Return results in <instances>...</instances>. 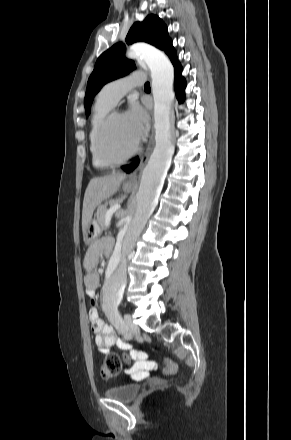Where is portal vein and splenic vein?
<instances>
[{
  "mask_svg": "<svg viewBox=\"0 0 291 440\" xmlns=\"http://www.w3.org/2000/svg\"><path fill=\"white\" fill-rule=\"evenodd\" d=\"M120 207H121L120 205L116 204V205H114V206L110 209V211L107 213V215H106V219H105V226H106V227H108V226L110 225V221H111V218H112L113 213L116 212V211H118V210L120 209Z\"/></svg>",
  "mask_w": 291,
  "mask_h": 440,
  "instance_id": "1",
  "label": "portal vein and splenic vein"
}]
</instances>
